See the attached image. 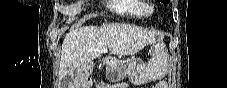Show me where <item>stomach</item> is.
<instances>
[{"mask_svg":"<svg viewBox=\"0 0 227 88\" xmlns=\"http://www.w3.org/2000/svg\"><path fill=\"white\" fill-rule=\"evenodd\" d=\"M153 56L144 63L134 59L126 65L120 64L115 57L105 59L107 72L112 81H120L129 77L135 85H141L163 77L169 68V54L162 42H155L152 45Z\"/></svg>","mask_w":227,"mask_h":88,"instance_id":"stomach-1","label":"stomach"}]
</instances>
